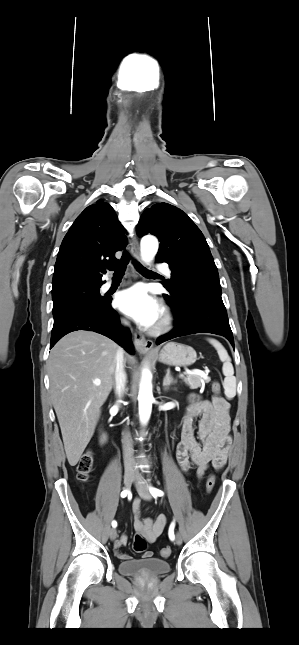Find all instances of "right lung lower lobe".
Here are the masks:
<instances>
[{"label":"right lung lower lobe","mask_w":299,"mask_h":645,"mask_svg":"<svg viewBox=\"0 0 299 645\" xmlns=\"http://www.w3.org/2000/svg\"><path fill=\"white\" fill-rule=\"evenodd\" d=\"M77 330L100 333L124 347L129 353H133L130 332L122 329L118 314L111 307V298H107V301L100 306L82 308L71 312L54 323L50 348L64 335Z\"/></svg>","instance_id":"obj_1"}]
</instances>
